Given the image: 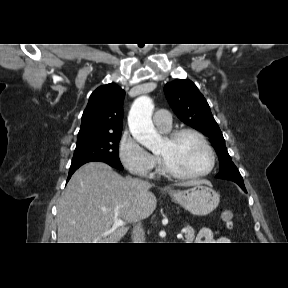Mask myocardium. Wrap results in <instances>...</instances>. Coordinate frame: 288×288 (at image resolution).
Masks as SVG:
<instances>
[{"label": "myocardium", "instance_id": "myocardium-1", "mask_svg": "<svg viewBox=\"0 0 288 288\" xmlns=\"http://www.w3.org/2000/svg\"><path fill=\"white\" fill-rule=\"evenodd\" d=\"M184 135H192V136L196 137L203 144V146L206 148V150L209 154V157H210V163H209L208 168L202 172H199V173L187 174V173H183V172L176 170L175 168L170 166L163 158L158 156L162 171L166 175L172 176L174 178L186 179V180L199 179V178H203V177L209 175L215 168L216 155H215V151H214L213 147L211 146L210 142L207 140V138L201 132H199L198 130L193 129V128H181V129H177V130H174V131H171L170 133H168L166 136V139L169 140L170 142H174Z\"/></svg>", "mask_w": 288, "mask_h": 288}]
</instances>
